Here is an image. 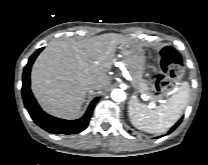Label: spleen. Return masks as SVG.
Listing matches in <instances>:
<instances>
[{
	"instance_id": "1",
	"label": "spleen",
	"mask_w": 208,
	"mask_h": 165,
	"mask_svg": "<svg viewBox=\"0 0 208 165\" xmlns=\"http://www.w3.org/2000/svg\"><path fill=\"white\" fill-rule=\"evenodd\" d=\"M189 94V84L183 82L165 104L154 109L141 103L136 96H132L128 106L130 121L139 130L164 133L182 116L188 104Z\"/></svg>"
}]
</instances>
